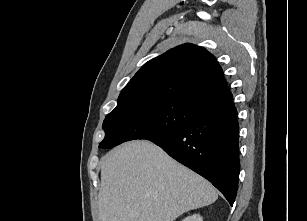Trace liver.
Returning a JSON list of instances; mask_svg holds the SVG:
<instances>
[{
	"label": "liver",
	"mask_w": 307,
	"mask_h": 221,
	"mask_svg": "<svg viewBox=\"0 0 307 221\" xmlns=\"http://www.w3.org/2000/svg\"><path fill=\"white\" fill-rule=\"evenodd\" d=\"M101 163L99 221H173L218 198L207 180L146 140L115 148Z\"/></svg>",
	"instance_id": "obj_1"
}]
</instances>
